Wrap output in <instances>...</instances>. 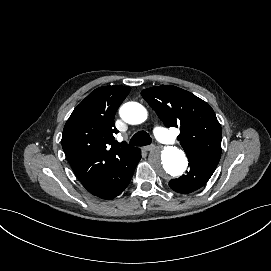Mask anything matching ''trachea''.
Returning <instances> with one entry per match:
<instances>
[{
	"instance_id": "trachea-1",
	"label": "trachea",
	"mask_w": 271,
	"mask_h": 271,
	"mask_svg": "<svg viewBox=\"0 0 271 271\" xmlns=\"http://www.w3.org/2000/svg\"><path fill=\"white\" fill-rule=\"evenodd\" d=\"M151 142H152V139L147 132L138 131L132 136L129 144L132 146H146V145H150Z\"/></svg>"
}]
</instances>
